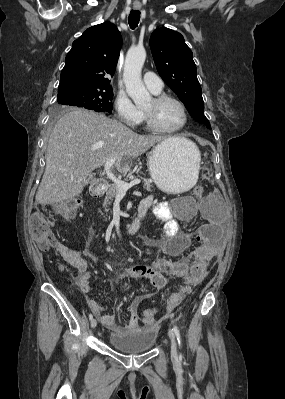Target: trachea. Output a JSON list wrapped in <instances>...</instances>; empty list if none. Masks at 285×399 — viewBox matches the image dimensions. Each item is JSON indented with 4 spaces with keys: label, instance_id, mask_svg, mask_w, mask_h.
I'll return each instance as SVG.
<instances>
[{
    "label": "trachea",
    "instance_id": "3493384b",
    "mask_svg": "<svg viewBox=\"0 0 285 399\" xmlns=\"http://www.w3.org/2000/svg\"><path fill=\"white\" fill-rule=\"evenodd\" d=\"M140 21V11L132 10L129 15V26L131 29H135Z\"/></svg>",
    "mask_w": 285,
    "mask_h": 399
}]
</instances>
